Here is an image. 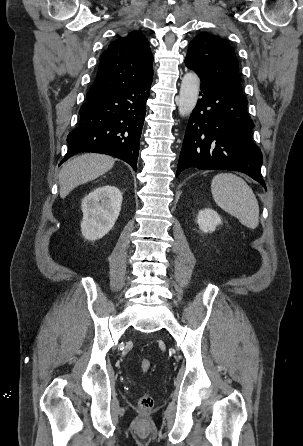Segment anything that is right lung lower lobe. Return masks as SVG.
<instances>
[{
	"label": "right lung lower lobe",
	"instance_id": "98d812e1",
	"mask_svg": "<svg viewBox=\"0 0 303 446\" xmlns=\"http://www.w3.org/2000/svg\"><path fill=\"white\" fill-rule=\"evenodd\" d=\"M153 76L91 98L80 109V121L67 137L69 148L61 164L81 152L117 157L137 169L139 141Z\"/></svg>",
	"mask_w": 303,
	"mask_h": 446
}]
</instances>
